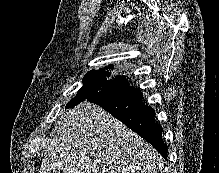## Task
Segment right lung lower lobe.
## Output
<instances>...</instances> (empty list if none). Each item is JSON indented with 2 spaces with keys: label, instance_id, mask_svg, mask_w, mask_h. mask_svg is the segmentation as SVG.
Segmentation results:
<instances>
[{
  "label": "right lung lower lobe",
  "instance_id": "obj_1",
  "mask_svg": "<svg viewBox=\"0 0 219 173\" xmlns=\"http://www.w3.org/2000/svg\"><path fill=\"white\" fill-rule=\"evenodd\" d=\"M143 93L125 81L120 91L105 95H93L87 99L108 111L148 141L165 159L168 148L162 139L163 129L155 122L152 107L142 102Z\"/></svg>",
  "mask_w": 219,
  "mask_h": 173
}]
</instances>
